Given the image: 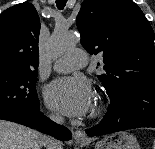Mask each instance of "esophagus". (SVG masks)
Instances as JSON below:
<instances>
[{"instance_id": "esophagus-1", "label": "esophagus", "mask_w": 155, "mask_h": 149, "mask_svg": "<svg viewBox=\"0 0 155 149\" xmlns=\"http://www.w3.org/2000/svg\"><path fill=\"white\" fill-rule=\"evenodd\" d=\"M73 138L76 142H86L88 140L82 130H75L73 132Z\"/></svg>"}]
</instances>
